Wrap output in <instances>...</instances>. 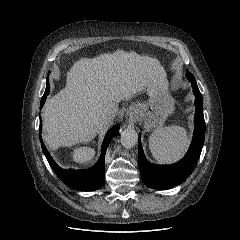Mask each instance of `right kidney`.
<instances>
[{"mask_svg": "<svg viewBox=\"0 0 240 240\" xmlns=\"http://www.w3.org/2000/svg\"><path fill=\"white\" fill-rule=\"evenodd\" d=\"M95 154L94 149L89 147H80L73 152V159L78 163H85L90 161Z\"/></svg>", "mask_w": 240, "mask_h": 240, "instance_id": "obj_1", "label": "right kidney"}]
</instances>
